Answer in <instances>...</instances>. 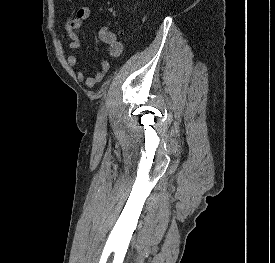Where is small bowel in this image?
I'll return each mask as SVG.
<instances>
[{"mask_svg":"<svg viewBox=\"0 0 275 263\" xmlns=\"http://www.w3.org/2000/svg\"><path fill=\"white\" fill-rule=\"evenodd\" d=\"M91 14L92 8L85 6L77 9L75 13L67 20L65 29L69 39V49L76 50L80 47L81 43L77 32L80 30L83 22L90 18ZM99 38L107 45L110 56L114 58L121 56L123 52V44L115 33L107 29H103L99 32ZM67 62L70 68H74L77 64L76 56L74 54L69 55ZM109 69L110 63L108 60L101 59L100 68L96 70L92 76L86 77L82 70H77L76 77L79 82L84 83L89 88H93L96 83L101 82L104 79Z\"/></svg>","mask_w":275,"mask_h":263,"instance_id":"obj_1","label":"small bowel"}]
</instances>
